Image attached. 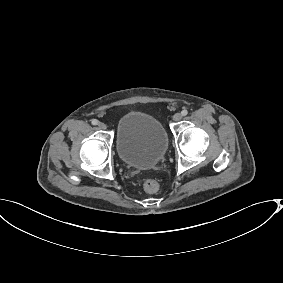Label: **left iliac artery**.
Wrapping results in <instances>:
<instances>
[{"instance_id": "obj_1", "label": "left iliac artery", "mask_w": 283, "mask_h": 283, "mask_svg": "<svg viewBox=\"0 0 283 283\" xmlns=\"http://www.w3.org/2000/svg\"><path fill=\"white\" fill-rule=\"evenodd\" d=\"M181 114H182L183 116H186V115L188 114V111L184 109V110L181 111Z\"/></svg>"}]
</instances>
